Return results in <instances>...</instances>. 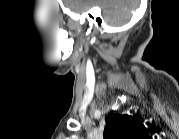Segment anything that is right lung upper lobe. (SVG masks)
Returning <instances> with one entry per match:
<instances>
[{
    "instance_id": "obj_1",
    "label": "right lung upper lobe",
    "mask_w": 179,
    "mask_h": 139,
    "mask_svg": "<svg viewBox=\"0 0 179 139\" xmlns=\"http://www.w3.org/2000/svg\"><path fill=\"white\" fill-rule=\"evenodd\" d=\"M104 139H147L145 126L129 115L112 114L106 117Z\"/></svg>"
}]
</instances>
